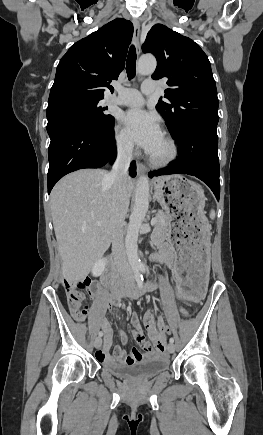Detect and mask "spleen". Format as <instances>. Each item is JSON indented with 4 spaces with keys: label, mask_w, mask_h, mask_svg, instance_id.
Wrapping results in <instances>:
<instances>
[{
    "label": "spleen",
    "mask_w": 263,
    "mask_h": 435,
    "mask_svg": "<svg viewBox=\"0 0 263 435\" xmlns=\"http://www.w3.org/2000/svg\"><path fill=\"white\" fill-rule=\"evenodd\" d=\"M210 217H211L212 219L215 217V212H214V210L211 211V213H210Z\"/></svg>",
    "instance_id": "obj_1"
}]
</instances>
